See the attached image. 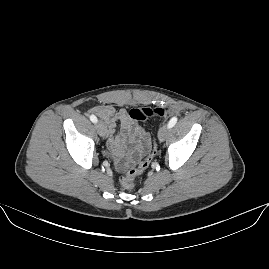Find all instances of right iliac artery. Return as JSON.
Listing matches in <instances>:
<instances>
[{"instance_id":"right-iliac-artery-1","label":"right iliac artery","mask_w":269,"mask_h":269,"mask_svg":"<svg viewBox=\"0 0 269 269\" xmlns=\"http://www.w3.org/2000/svg\"><path fill=\"white\" fill-rule=\"evenodd\" d=\"M90 120H91L93 123H97V118H96V116H94V115H91V116H90Z\"/></svg>"}]
</instances>
